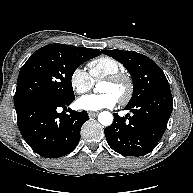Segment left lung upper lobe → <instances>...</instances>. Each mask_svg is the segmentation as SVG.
<instances>
[{
	"instance_id": "obj_1",
	"label": "left lung upper lobe",
	"mask_w": 193,
	"mask_h": 193,
	"mask_svg": "<svg viewBox=\"0 0 193 193\" xmlns=\"http://www.w3.org/2000/svg\"><path fill=\"white\" fill-rule=\"evenodd\" d=\"M102 53L122 63L131 74L134 90L128 105H134L169 85L162 69L145 55L117 49L102 50Z\"/></svg>"
}]
</instances>
